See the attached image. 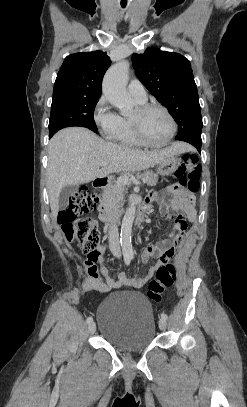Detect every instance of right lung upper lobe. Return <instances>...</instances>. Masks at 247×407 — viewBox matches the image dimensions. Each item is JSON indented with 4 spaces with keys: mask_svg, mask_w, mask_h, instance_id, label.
<instances>
[{
    "mask_svg": "<svg viewBox=\"0 0 247 407\" xmlns=\"http://www.w3.org/2000/svg\"><path fill=\"white\" fill-rule=\"evenodd\" d=\"M110 64V58L102 51L69 55L57 74L53 97H100L102 78Z\"/></svg>",
    "mask_w": 247,
    "mask_h": 407,
    "instance_id": "1",
    "label": "right lung upper lobe"
}]
</instances>
